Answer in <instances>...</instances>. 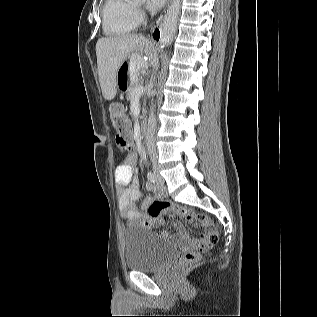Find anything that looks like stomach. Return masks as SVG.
<instances>
[{"label": "stomach", "instance_id": "0dacf381", "mask_svg": "<svg viewBox=\"0 0 317 317\" xmlns=\"http://www.w3.org/2000/svg\"><path fill=\"white\" fill-rule=\"evenodd\" d=\"M144 65L143 55H126L119 70L116 71V94H128V87H132L134 82H140L138 74L141 73Z\"/></svg>", "mask_w": 317, "mask_h": 317}]
</instances>
